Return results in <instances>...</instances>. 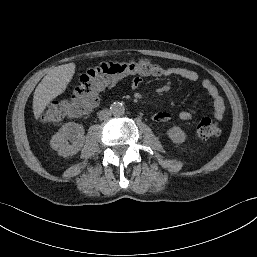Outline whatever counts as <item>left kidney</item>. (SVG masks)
<instances>
[{
  "instance_id": "obj_1",
  "label": "left kidney",
  "mask_w": 257,
  "mask_h": 257,
  "mask_svg": "<svg viewBox=\"0 0 257 257\" xmlns=\"http://www.w3.org/2000/svg\"><path fill=\"white\" fill-rule=\"evenodd\" d=\"M167 135L174 143H183L186 139L185 132L177 126L170 128Z\"/></svg>"
}]
</instances>
